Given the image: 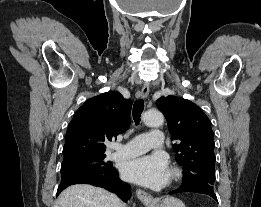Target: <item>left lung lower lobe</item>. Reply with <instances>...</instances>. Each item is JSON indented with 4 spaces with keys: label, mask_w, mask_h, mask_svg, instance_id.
Wrapping results in <instances>:
<instances>
[{
    "label": "left lung lower lobe",
    "mask_w": 261,
    "mask_h": 207,
    "mask_svg": "<svg viewBox=\"0 0 261 207\" xmlns=\"http://www.w3.org/2000/svg\"><path fill=\"white\" fill-rule=\"evenodd\" d=\"M176 193H202L209 195L217 201L216 194L213 192V187L201 182H183L178 189L169 192L170 195Z\"/></svg>",
    "instance_id": "obj_1"
}]
</instances>
